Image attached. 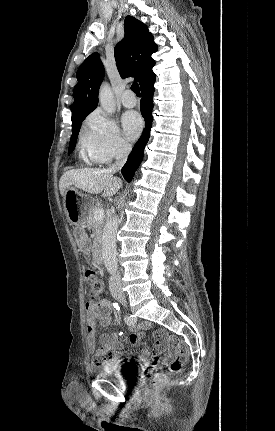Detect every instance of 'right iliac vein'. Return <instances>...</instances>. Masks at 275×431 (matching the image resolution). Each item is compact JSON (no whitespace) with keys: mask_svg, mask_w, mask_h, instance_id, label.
I'll return each mask as SVG.
<instances>
[{"mask_svg":"<svg viewBox=\"0 0 275 431\" xmlns=\"http://www.w3.org/2000/svg\"><path fill=\"white\" fill-rule=\"evenodd\" d=\"M115 299L121 304H126V298L122 294H116Z\"/></svg>","mask_w":275,"mask_h":431,"instance_id":"obj_1","label":"right iliac vein"}]
</instances>
